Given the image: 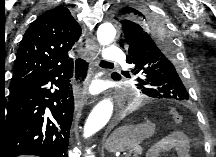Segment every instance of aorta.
<instances>
[{
  "label": "aorta",
  "mask_w": 216,
  "mask_h": 157,
  "mask_svg": "<svg viewBox=\"0 0 216 157\" xmlns=\"http://www.w3.org/2000/svg\"><path fill=\"white\" fill-rule=\"evenodd\" d=\"M116 36L115 27L107 22L99 26L97 39L101 45H109ZM113 114V103L110 99L99 102L90 113L84 125V137L88 138L100 131L110 120Z\"/></svg>",
  "instance_id": "1"
}]
</instances>
